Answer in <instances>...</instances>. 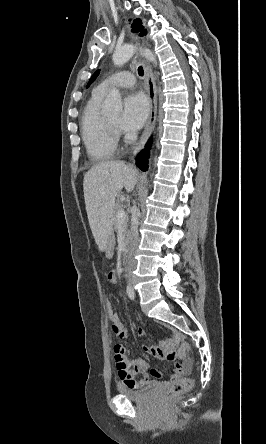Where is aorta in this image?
I'll return each mask as SVG.
<instances>
[{
    "label": "aorta",
    "mask_w": 266,
    "mask_h": 444,
    "mask_svg": "<svg viewBox=\"0 0 266 444\" xmlns=\"http://www.w3.org/2000/svg\"><path fill=\"white\" fill-rule=\"evenodd\" d=\"M137 47L134 45H124L117 48L113 53V63L115 66H121L126 63L135 52ZM140 54L146 57L150 62L157 64L155 55L149 49H140ZM103 112L110 115H120L122 113V99L119 90L112 89L107 95L103 104Z\"/></svg>",
    "instance_id": "762f6f07"
}]
</instances>
